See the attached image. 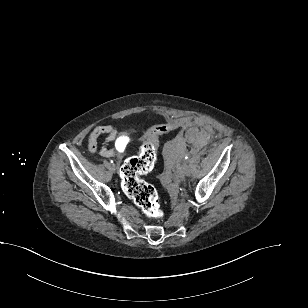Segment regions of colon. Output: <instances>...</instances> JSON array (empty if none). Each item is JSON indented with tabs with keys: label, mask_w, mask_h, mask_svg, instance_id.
Listing matches in <instances>:
<instances>
[{
	"label": "colon",
	"mask_w": 308,
	"mask_h": 308,
	"mask_svg": "<svg viewBox=\"0 0 308 308\" xmlns=\"http://www.w3.org/2000/svg\"><path fill=\"white\" fill-rule=\"evenodd\" d=\"M174 128L175 124H160L151 127L138 155L128 159L121 167L120 177L124 193L151 220L161 219L163 212L156 189L141 177L154 167L158 137Z\"/></svg>",
	"instance_id": "colon-1"
}]
</instances>
